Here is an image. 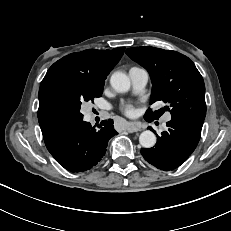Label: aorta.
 <instances>
[{
  "mask_svg": "<svg viewBox=\"0 0 231 231\" xmlns=\"http://www.w3.org/2000/svg\"><path fill=\"white\" fill-rule=\"evenodd\" d=\"M110 84L117 92L124 93L130 89V79L123 72H114L111 75ZM139 143L144 148H151L156 143V136L150 130L143 131L139 136Z\"/></svg>",
  "mask_w": 231,
  "mask_h": 231,
  "instance_id": "1",
  "label": "aorta"
}]
</instances>
